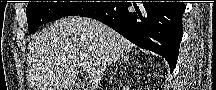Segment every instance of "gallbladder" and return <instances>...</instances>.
I'll list each match as a JSON object with an SVG mask.
<instances>
[{"instance_id": "bac80fb5", "label": "gallbladder", "mask_w": 216, "mask_h": 90, "mask_svg": "<svg viewBox=\"0 0 216 90\" xmlns=\"http://www.w3.org/2000/svg\"><path fill=\"white\" fill-rule=\"evenodd\" d=\"M84 86H80V90H83Z\"/></svg>"}]
</instances>
